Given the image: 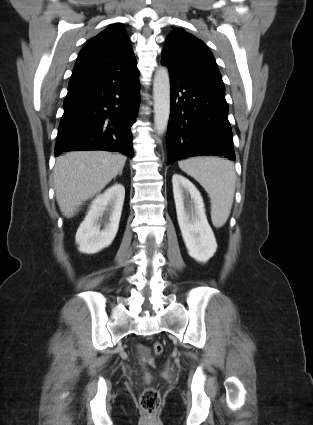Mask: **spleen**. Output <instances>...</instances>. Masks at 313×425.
<instances>
[{
  "label": "spleen",
  "instance_id": "spleen-1",
  "mask_svg": "<svg viewBox=\"0 0 313 425\" xmlns=\"http://www.w3.org/2000/svg\"><path fill=\"white\" fill-rule=\"evenodd\" d=\"M178 165L206 190L211 200L212 223L217 228L222 227L233 204L236 187L234 164L220 157H193L179 161Z\"/></svg>",
  "mask_w": 313,
  "mask_h": 425
}]
</instances>
